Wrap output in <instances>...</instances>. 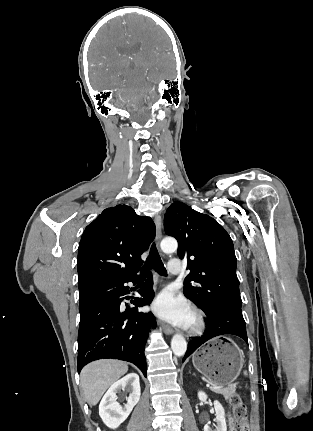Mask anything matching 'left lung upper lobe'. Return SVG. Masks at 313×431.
<instances>
[{"mask_svg": "<svg viewBox=\"0 0 313 431\" xmlns=\"http://www.w3.org/2000/svg\"><path fill=\"white\" fill-rule=\"evenodd\" d=\"M164 223L166 233L178 241L179 257L188 260L184 295L204 312L220 306L241 307L237 259L226 230L181 202L167 209Z\"/></svg>", "mask_w": 313, "mask_h": 431, "instance_id": "1", "label": "left lung upper lobe"}]
</instances>
